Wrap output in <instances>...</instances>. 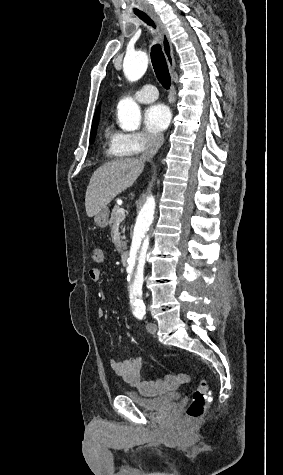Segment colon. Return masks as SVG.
<instances>
[{
    "label": "colon",
    "instance_id": "colon-1",
    "mask_svg": "<svg viewBox=\"0 0 283 475\" xmlns=\"http://www.w3.org/2000/svg\"><path fill=\"white\" fill-rule=\"evenodd\" d=\"M91 259L94 263L100 264L106 259V253L102 248L94 247L91 251ZM208 393V382L205 377L200 376L187 406L185 420L195 421L203 417L208 406Z\"/></svg>",
    "mask_w": 283,
    "mask_h": 475
}]
</instances>
